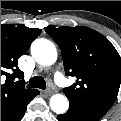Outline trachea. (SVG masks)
Returning <instances> with one entry per match:
<instances>
[{
    "mask_svg": "<svg viewBox=\"0 0 121 121\" xmlns=\"http://www.w3.org/2000/svg\"><path fill=\"white\" fill-rule=\"evenodd\" d=\"M28 87L46 89V84H45L44 79L41 76H35L30 79Z\"/></svg>",
    "mask_w": 121,
    "mask_h": 121,
    "instance_id": "1",
    "label": "trachea"
}]
</instances>
